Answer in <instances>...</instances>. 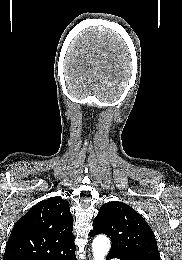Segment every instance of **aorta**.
Wrapping results in <instances>:
<instances>
[{
  "instance_id": "aorta-1",
  "label": "aorta",
  "mask_w": 182,
  "mask_h": 260,
  "mask_svg": "<svg viewBox=\"0 0 182 260\" xmlns=\"http://www.w3.org/2000/svg\"><path fill=\"white\" fill-rule=\"evenodd\" d=\"M110 249V240L105 235L95 237L92 243L93 260H105Z\"/></svg>"
}]
</instances>
